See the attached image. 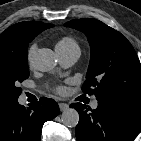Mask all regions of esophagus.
I'll return each mask as SVG.
<instances>
[{"label":"esophagus","mask_w":141,"mask_h":141,"mask_svg":"<svg viewBox=\"0 0 141 141\" xmlns=\"http://www.w3.org/2000/svg\"><path fill=\"white\" fill-rule=\"evenodd\" d=\"M60 111H65L69 108V105L66 103H59Z\"/></svg>","instance_id":"34e87169"}]
</instances>
